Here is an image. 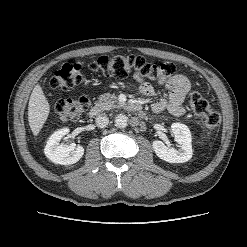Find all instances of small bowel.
<instances>
[{
  "mask_svg": "<svg viewBox=\"0 0 247 247\" xmlns=\"http://www.w3.org/2000/svg\"><path fill=\"white\" fill-rule=\"evenodd\" d=\"M134 78L139 83V89L143 95H155L156 91L149 82L137 74L134 75ZM158 83L168 91V97L153 103L152 110L156 113L167 110L173 115H182L185 111L184 102L191 88L187 77L181 74L169 75L160 79Z\"/></svg>",
  "mask_w": 247,
  "mask_h": 247,
  "instance_id": "small-bowel-1",
  "label": "small bowel"
}]
</instances>
